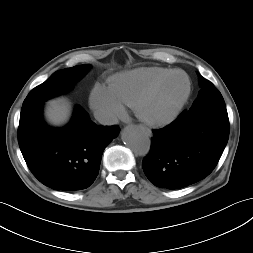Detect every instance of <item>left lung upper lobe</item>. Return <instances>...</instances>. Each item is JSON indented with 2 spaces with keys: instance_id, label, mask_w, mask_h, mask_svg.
<instances>
[{
  "instance_id": "left-lung-upper-lobe-1",
  "label": "left lung upper lobe",
  "mask_w": 253,
  "mask_h": 253,
  "mask_svg": "<svg viewBox=\"0 0 253 253\" xmlns=\"http://www.w3.org/2000/svg\"><path fill=\"white\" fill-rule=\"evenodd\" d=\"M199 78L202 89L187 113L198 115L211 109L226 108L221 93L213 84L208 80L202 79L201 76Z\"/></svg>"
}]
</instances>
